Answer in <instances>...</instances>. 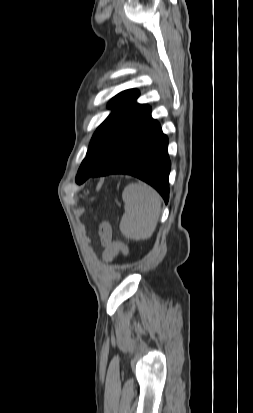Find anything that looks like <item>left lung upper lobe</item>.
<instances>
[{
    "mask_svg": "<svg viewBox=\"0 0 253 413\" xmlns=\"http://www.w3.org/2000/svg\"><path fill=\"white\" fill-rule=\"evenodd\" d=\"M138 96L136 89H130L111 99L108 107L113 111L94 133L86 159L78 170L77 183H81L111 157L122 134V122L137 118L149 107L145 104H137L135 100Z\"/></svg>",
    "mask_w": 253,
    "mask_h": 413,
    "instance_id": "left-lung-upper-lobe-1",
    "label": "left lung upper lobe"
}]
</instances>
